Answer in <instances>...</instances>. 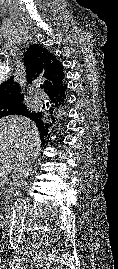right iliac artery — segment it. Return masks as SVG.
I'll use <instances>...</instances> for the list:
<instances>
[{"label": "right iliac artery", "instance_id": "82829eb1", "mask_svg": "<svg viewBox=\"0 0 118 269\" xmlns=\"http://www.w3.org/2000/svg\"><path fill=\"white\" fill-rule=\"evenodd\" d=\"M10 266L12 269H18L20 266V260H18L17 258H13L10 262H9Z\"/></svg>", "mask_w": 118, "mask_h": 269}]
</instances>
